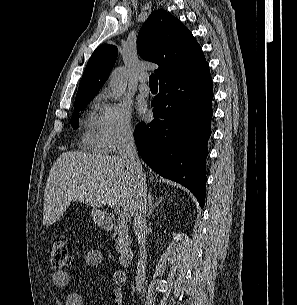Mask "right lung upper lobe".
Instances as JSON below:
<instances>
[{
    "label": "right lung upper lobe",
    "instance_id": "obj_1",
    "mask_svg": "<svg viewBox=\"0 0 297 305\" xmlns=\"http://www.w3.org/2000/svg\"><path fill=\"white\" fill-rule=\"evenodd\" d=\"M137 49L143 59L159 65L155 72L160 76V82L184 76L206 63L192 33L165 10L151 13L145 21L138 33ZM117 53L113 45L99 46L93 52L75 101L98 93L115 64Z\"/></svg>",
    "mask_w": 297,
    "mask_h": 305
}]
</instances>
